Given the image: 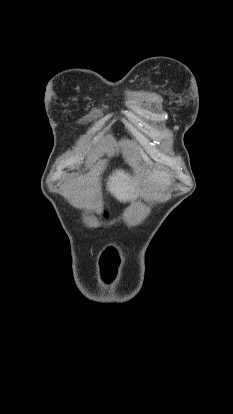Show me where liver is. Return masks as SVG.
I'll use <instances>...</instances> for the list:
<instances>
[{
    "label": "liver",
    "mask_w": 233,
    "mask_h": 414,
    "mask_svg": "<svg viewBox=\"0 0 233 414\" xmlns=\"http://www.w3.org/2000/svg\"><path fill=\"white\" fill-rule=\"evenodd\" d=\"M148 179L160 185H167L169 183V175L165 172L154 171L153 173H149ZM137 184L130 175L122 170H117L109 177L107 190L118 200L125 201L136 197L133 193L135 192V186Z\"/></svg>",
    "instance_id": "liver-1"
}]
</instances>
